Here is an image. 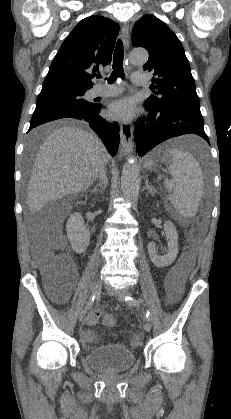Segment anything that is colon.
<instances>
[{"label":"colon","mask_w":231,"mask_h":419,"mask_svg":"<svg viewBox=\"0 0 231 419\" xmlns=\"http://www.w3.org/2000/svg\"><path fill=\"white\" fill-rule=\"evenodd\" d=\"M43 272L46 280L52 287L60 284L64 285L65 290L68 288V283L74 275L71 263L60 251L51 252L44 256ZM103 324L107 327H115L117 320L111 314H104ZM131 344L133 346H138L139 339L133 338Z\"/></svg>","instance_id":"colon-1"}]
</instances>
